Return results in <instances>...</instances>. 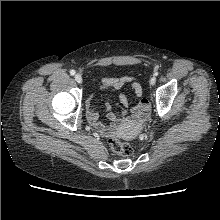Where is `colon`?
Returning <instances> with one entry per match:
<instances>
[{
    "instance_id": "5ec220e1",
    "label": "colon",
    "mask_w": 220,
    "mask_h": 220,
    "mask_svg": "<svg viewBox=\"0 0 220 220\" xmlns=\"http://www.w3.org/2000/svg\"><path fill=\"white\" fill-rule=\"evenodd\" d=\"M144 105H147V101L144 102ZM145 113V112H144ZM143 113V114H144ZM109 144L113 152L121 156H129L132 154L133 149L130 144L125 143L118 138H111Z\"/></svg>"
}]
</instances>
